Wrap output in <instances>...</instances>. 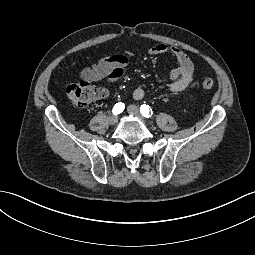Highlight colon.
<instances>
[{
  "label": "colon",
  "mask_w": 255,
  "mask_h": 255,
  "mask_svg": "<svg viewBox=\"0 0 255 255\" xmlns=\"http://www.w3.org/2000/svg\"><path fill=\"white\" fill-rule=\"evenodd\" d=\"M201 87L204 90H210L214 87V81L210 78L204 79ZM66 92L71 102L81 108L88 107L100 94L91 84L84 82L69 85Z\"/></svg>",
  "instance_id": "1"
}]
</instances>
